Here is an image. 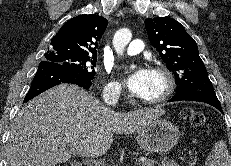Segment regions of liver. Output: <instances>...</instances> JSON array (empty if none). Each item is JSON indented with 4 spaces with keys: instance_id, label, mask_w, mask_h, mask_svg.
<instances>
[{
    "instance_id": "obj_1",
    "label": "liver",
    "mask_w": 231,
    "mask_h": 166,
    "mask_svg": "<svg viewBox=\"0 0 231 166\" xmlns=\"http://www.w3.org/2000/svg\"><path fill=\"white\" fill-rule=\"evenodd\" d=\"M165 114L160 108L128 113L104 106L82 88L61 84L23 106L10 126L8 166H55L72 155L105 154L113 133L132 134Z\"/></svg>"
}]
</instances>
